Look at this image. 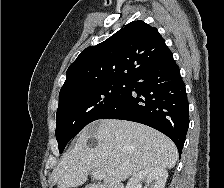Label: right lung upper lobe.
Wrapping results in <instances>:
<instances>
[{"mask_svg":"<svg viewBox=\"0 0 224 188\" xmlns=\"http://www.w3.org/2000/svg\"><path fill=\"white\" fill-rule=\"evenodd\" d=\"M171 54L155 27L142 20L133 21L104 42L84 49L69 66L61 91L107 81H130Z\"/></svg>","mask_w":224,"mask_h":188,"instance_id":"right-lung-upper-lobe-1","label":"right lung upper lobe"}]
</instances>
